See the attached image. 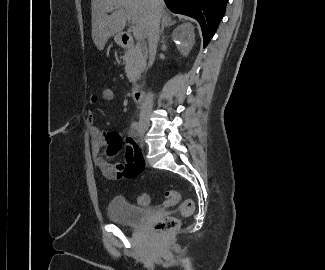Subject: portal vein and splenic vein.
<instances>
[{
	"label": "portal vein and splenic vein",
	"mask_w": 325,
	"mask_h": 270,
	"mask_svg": "<svg viewBox=\"0 0 325 270\" xmlns=\"http://www.w3.org/2000/svg\"><path fill=\"white\" fill-rule=\"evenodd\" d=\"M115 9H117V8H111V9H109L108 11L111 12V11H113V10H115ZM126 16H127L128 18L131 17L130 14H126ZM132 32H133L134 37H135L138 41H141V40L143 39V36H142V33H141L140 29H139L137 26H135L134 24L132 25Z\"/></svg>",
	"instance_id": "1"
}]
</instances>
